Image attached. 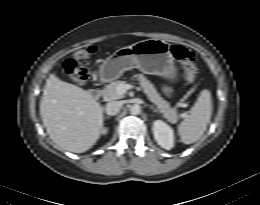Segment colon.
Segmentation results:
<instances>
[{
	"label": "colon",
	"mask_w": 260,
	"mask_h": 205,
	"mask_svg": "<svg viewBox=\"0 0 260 205\" xmlns=\"http://www.w3.org/2000/svg\"><path fill=\"white\" fill-rule=\"evenodd\" d=\"M96 48L93 45L84 46L76 49L70 58L63 63V70L70 82L77 85H83L88 79V69L84 66L95 54ZM174 58L182 64L185 70V78L189 83L196 80L198 68L194 54L182 45L172 47Z\"/></svg>",
	"instance_id": "obj_1"
}]
</instances>
